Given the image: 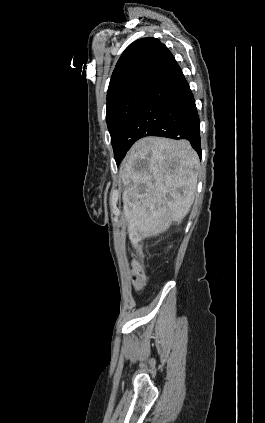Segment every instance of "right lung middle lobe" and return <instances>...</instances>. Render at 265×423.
Returning <instances> with one entry per match:
<instances>
[{
    "instance_id": "obj_1",
    "label": "right lung middle lobe",
    "mask_w": 265,
    "mask_h": 423,
    "mask_svg": "<svg viewBox=\"0 0 265 423\" xmlns=\"http://www.w3.org/2000/svg\"><path fill=\"white\" fill-rule=\"evenodd\" d=\"M147 94L148 92L145 91L133 92L116 100L107 107L106 121L117 165L125 156L120 147L122 132Z\"/></svg>"
}]
</instances>
